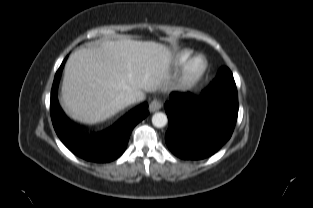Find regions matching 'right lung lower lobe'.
Instances as JSON below:
<instances>
[{
	"label": "right lung lower lobe",
	"mask_w": 313,
	"mask_h": 208,
	"mask_svg": "<svg viewBox=\"0 0 313 208\" xmlns=\"http://www.w3.org/2000/svg\"><path fill=\"white\" fill-rule=\"evenodd\" d=\"M65 60L56 72L51 91L50 113L58 137L70 151L85 160L110 162L117 159L125 151L132 129L148 115L147 104L131 109L112 126L97 133L84 134L69 127L56 97Z\"/></svg>",
	"instance_id": "1"
}]
</instances>
